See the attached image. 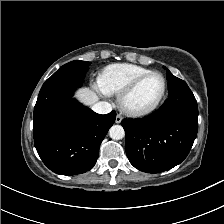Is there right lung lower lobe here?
<instances>
[{"label": "right lung lower lobe", "instance_id": "98d812e1", "mask_svg": "<svg viewBox=\"0 0 224 224\" xmlns=\"http://www.w3.org/2000/svg\"><path fill=\"white\" fill-rule=\"evenodd\" d=\"M82 81L51 76L43 84L33 115L35 148L44 164L61 175L90 170L116 113L99 115L72 99Z\"/></svg>", "mask_w": 224, "mask_h": 224}]
</instances>
